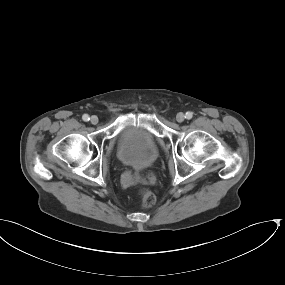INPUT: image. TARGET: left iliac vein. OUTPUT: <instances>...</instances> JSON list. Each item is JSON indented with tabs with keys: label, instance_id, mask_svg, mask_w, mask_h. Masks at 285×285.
<instances>
[{
	"label": "left iliac vein",
	"instance_id": "obj_1",
	"mask_svg": "<svg viewBox=\"0 0 285 285\" xmlns=\"http://www.w3.org/2000/svg\"><path fill=\"white\" fill-rule=\"evenodd\" d=\"M184 120H185V116H184L183 113H178V114L176 115V121H177V122L181 123V122H183Z\"/></svg>",
	"mask_w": 285,
	"mask_h": 285
}]
</instances>
